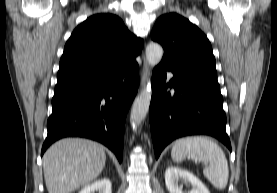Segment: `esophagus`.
<instances>
[{"label":"esophagus","mask_w":277,"mask_h":193,"mask_svg":"<svg viewBox=\"0 0 277 193\" xmlns=\"http://www.w3.org/2000/svg\"><path fill=\"white\" fill-rule=\"evenodd\" d=\"M150 75V69L149 66L146 62V60L144 59V63H143V67H142V78H141V86L144 87L148 78Z\"/></svg>","instance_id":"1"}]
</instances>
